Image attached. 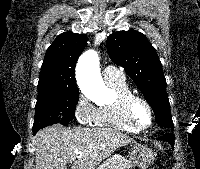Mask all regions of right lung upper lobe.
Instances as JSON below:
<instances>
[{
	"label": "right lung upper lobe",
	"instance_id": "right-lung-upper-lobe-1",
	"mask_svg": "<svg viewBox=\"0 0 200 169\" xmlns=\"http://www.w3.org/2000/svg\"><path fill=\"white\" fill-rule=\"evenodd\" d=\"M86 44L85 34L65 32L57 36L47 49L41 67L39 94L79 91L75 80V65Z\"/></svg>",
	"mask_w": 200,
	"mask_h": 169
}]
</instances>
